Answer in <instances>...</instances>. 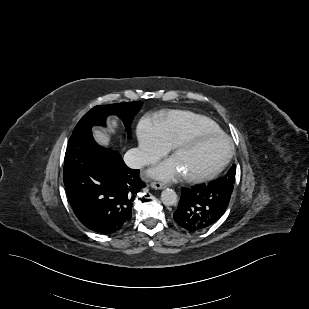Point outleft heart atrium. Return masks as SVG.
Masks as SVG:
<instances>
[{
    "label": "left heart atrium",
    "mask_w": 309,
    "mask_h": 309,
    "mask_svg": "<svg viewBox=\"0 0 309 309\" xmlns=\"http://www.w3.org/2000/svg\"><path fill=\"white\" fill-rule=\"evenodd\" d=\"M150 175L163 180H177L185 176V173L175 156L163 161L150 170Z\"/></svg>",
    "instance_id": "1"
}]
</instances>
